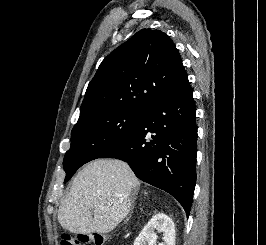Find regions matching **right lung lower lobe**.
Here are the masks:
<instances>
[{
    "mask_svg": "<svg viewBox=\"0 0 266 245\" xmlns=\"http://www.w3.org/2000/svg\"><path fill=\"white\" fill-rule=\"evenodd\" d=\"M195 114L186 81L148 107L132 134L99 158L127 162L139 179L171 194L188 216L196 184Z\"/></svg>",
    "mask_w": 266,
    "mask_h": 245,
    "instance_id": "1",
    "label": "right lung lower lobe"
}]
</instances>
